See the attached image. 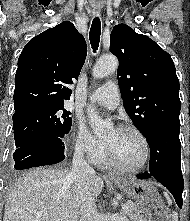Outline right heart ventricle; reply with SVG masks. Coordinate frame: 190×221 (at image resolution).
<instances>
[{
	"instance_id": "obj_1",
	"label": "right heart ventricle",
	"mask_w": 190,
	"mask_h": 221,
	"mask_svg": "<svg viewBox=\"0 0 190 221\" xmlns=\"http://www.w3.org/2000/svg\"><path fill=\"white\" fill-rule=\"evenodd\" d=\"M93 162L101 167H108L110 165H112L109 160L107 159L105 152L103 151L99 156H97Z\"/></svg>"
}]
</instances>
